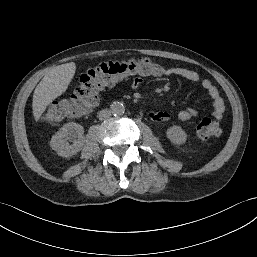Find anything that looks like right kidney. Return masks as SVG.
<instances>
[{
	"instance_id": "right-kidney-1",
	"label": "right kidney",
	"mask_w": 257,
	"mask_h": 257,
	"mask_svg": "<svg viewBox=\"0 0 257 257\" xmlns=\"http://www.w3.org/2000/svg\"><path fill=\"white\" fill-rule=\"evenodd\" d=\"M83 132L84 129L80 124L69 122L52 136L50 146L59 156H73L77 154L84 145L85 138ZM68 140L72 142V145L68 143Z\"/></svg>"
}]
</instances>
